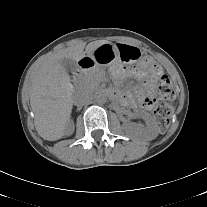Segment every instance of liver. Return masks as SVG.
Wrapping results in <instances>:
<instances>
[{"label": "liver", "instance_id": "1", "mask_svg": "<svg viewBox=\"0 0 207 207\" xmlns=\"http://www.w3.org/2000/svg\"><path fill=\"white\" fill-rule=\"evenodd\" d=\"M105 43L106 40H97L85 47L83 42H79L62 49L42 61L31 74L30 106L34 112L36 130L44 140L56 141L65 135L73 108V87L60 61L68 58L78 62L85 54L91 56Z\"/></svg>", "mask_w": 207, "mask_h": 207}]
</instances>
